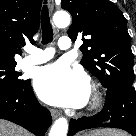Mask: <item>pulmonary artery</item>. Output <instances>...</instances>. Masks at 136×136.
<instances>
[{"label":"pulmonary artery","instance_id":"e3ab8cb5","mask_svg":"<svg viewBox=\"0 0 136 136\" xmlns=\"http://www.w3.org/2000/svg\"><path fill=\"white\" fill-rule=\"evenodd\" d=\"M58 46L62 50L69 49L71 47V40L68 37H61L58 41ZM27 52L29 55L22 59V66L44 63L50 60L54 55V50L52 48L40 49L36 47H29L27 48Z\"/></svg>","mask_w":136,"mask_h":136}]
</instances>
